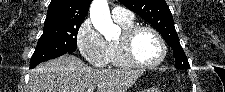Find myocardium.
I'll use <instances>...</instances> for the list:
<instances>
[{"instance_id":"myocardium-1","label":"myocardium","mask_w":225,"mask_h":92,"mask_svg":"<svg viewBox=\"0 0 225 92\" xmlns=\"http://www.w3.org/2000/svg\"><path fill=\"white\" fill-rule=\"evenodd\" d=\"M143 30L151 32L156 37L161 47L160 57L156 61L152 63H148V64L141 63L140 61H138L132 53L133 40L135 36L140 31H143ZM116 44H117V49L119 52L121 62L127 67H132L137 69H148V68L157 67L160 64H162L167 54V46L163 37L155 28L149 25H133L130 28L124 30L121 37L116 42Z\"/></svg>"}]
</instances>
